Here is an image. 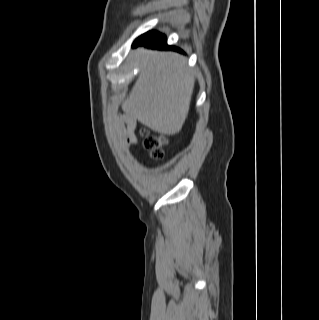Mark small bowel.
<instances>
[{
  "label": "small bowel",
  "mask_w": 319,
  "mask_h": 320,
  "mask_svg": "<svg viewBox=\"0 0 319 320\" xmlns=\"http://www.w3.org/2000/svg\"><path fill=\"white\" fill-rule=\"evenodd\" d=\"M120 124L122 125L121 129L129 147L136 148L138 143L137 136L135 134L136 122L132 118L123 115L121 117Z\"/></svg>",
  "instance_id": "c3829d8e"
}]
</instances>
